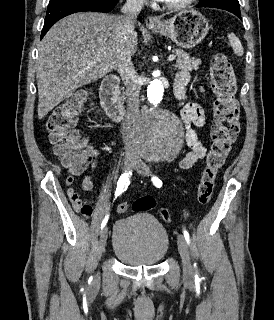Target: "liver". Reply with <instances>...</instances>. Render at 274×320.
Returning a JSON list of instances; mask_svg holds the SVG:
<instances>
[{
	"label": "liver",
	"instance_id": "1",
	"mask_svg": "<svg viewBox=\"0 0 274 320\" xmlns=\"http://www.w3.org/2000/svg\"><path fill=\"white\" fill-rule=\"evenodd\" d=\"M121 16L78 12L52 26L38 48V118L42 120L75 90L117 70L121 48L116 24ZM138 40L132 38L130 54ZM88 62H95L88 66Z\"/></svg>",
	"mask_w": 274,
	"mask_h": 320
}]
</instances>
